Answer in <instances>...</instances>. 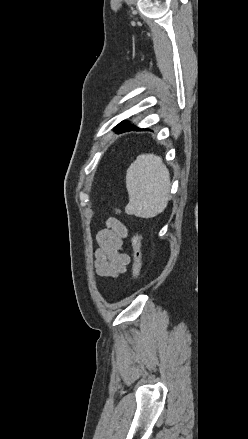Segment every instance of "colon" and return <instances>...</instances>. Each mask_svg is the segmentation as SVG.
<instances>
[{
  "mask_svg": "<svg viewBox=\"0 0 248 439\" xmlns=\"http://www.w3.org/2000/svg\"><path fill=\"white\" fill-rule=\"evenodd\" d=\"M142 235L140 231H137L131 241L132 249H133V280H136L141 272L142 268V246H141Z\"/></svg>",
  "mask_w": 248,
  "mask_h": 439,
  "instance_id": "1",
  "label": "colon"
}]
</instances>
